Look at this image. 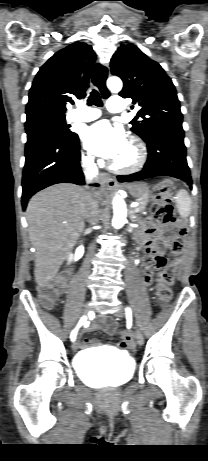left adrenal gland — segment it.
Returning a JSON list of instances; mask_svg holds the SVG:
<instances>
[{"mask_svg": "<svg viewBox=\"0 0 208 461\" xmlns=\"http://www.w3.org/2000/svg\"><path fill=\"white\" fill-rule=\"evenodd\" d=\"M130 218H131L132 221H135L136 217H135V214H134L133 210H130Z\"/></svg>", "mask_w": 208, "mask_h": 461, "instance_id": "1", "label": "left adrenal gland"}]
</instances>
